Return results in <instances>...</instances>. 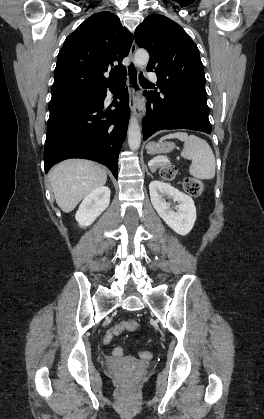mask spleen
Instances as JSON below:
<instances>
[{
  "mask_svg": "<svg viewBox=\"0 0 264 419\" xmlns=\"http://www.w3.org/2000/svg\"><path fill=\"white\" fill-rule=\"evenodd\" d=\"M177 138L184 142L181 156L192 161L189 173L198 179H212L215 176V157L209 144L195 135L186 132H176L163 139Z\"/></svg>",
  "mask_w": 264,
  "mask_h": 419,
  "instance_id": "1",
  "label": "spleen"
}]
</instances>
